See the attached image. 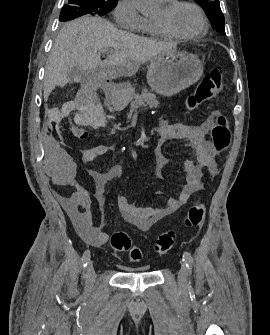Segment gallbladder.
I'll use <instances>...</instances> for the list:
<instances>
[{
  "label": "gallbladder",
  "mask_w": 270,
  "mask_h": 335,
  "mask_svg": "<svg viewBox=\"0 0 270 335\" xmlns=\"http://www.w3.org/2000/svg\"><path fill=\"white\" fill-rule=\"evenodd\" d=\"M83 76L82 68L79 66H74V68H70L68 72V78H70V82H80Z\"/></svg>",
  "instance_id": "gallbladder-1"
}]
</instances>
